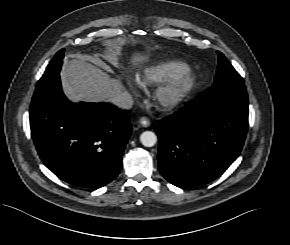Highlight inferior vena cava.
<instances>
[{
  "label": "inferior vena cava",
  "mask_w": 290,
  "mask_h": 245,
  "mask_svg": "<svg viewBox=\"0 0 290 245\" xmlns=\"http://www.w3.org/2000/svg\"><path fill=\"white\" fill-rule=\"evenodd\" d=\"M109 101L121 109H130L134 104L132 96L126 91L112 96Z\"/></svg>",
  "instance_id": "1"
}]
</instances>
